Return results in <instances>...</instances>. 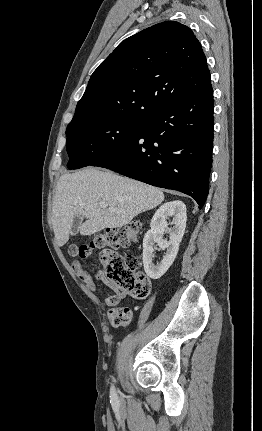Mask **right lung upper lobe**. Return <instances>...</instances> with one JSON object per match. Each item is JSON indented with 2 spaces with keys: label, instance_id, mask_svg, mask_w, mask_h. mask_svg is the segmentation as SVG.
Returning <instances> with one entry per match:
<instances>
[{
  "label": "right lung upper lobe",
  "instance_id": "obj_1",
  "mask_svg": "<svg viewBox=\"0 0 262 431\" xmlns=\"http://www.w3.org/2000/svg\"><path fill=\"white\" fill-rule=\"evenodd\" d=\"M198 39L174 21L121 42L92 74L68 126L90 120L136 118L181 103L210 85Z\"/></svg>",
  "mask_w": 262,
  "mask_h": 431
}]
</instances>
